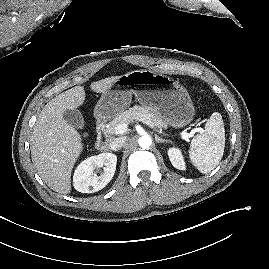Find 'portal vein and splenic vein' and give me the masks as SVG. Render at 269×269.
Returning <instances> with one entry per match:
<instances>
[{
    "instance_id": "portal-vein-and-splenic-vein-1",
    "label": "portal vein and splenic vein",
    "mask_w": 269,
    "mask_h": 269,
    "mask_svg": "<svg viewBox=\"0 0 269 269\" xmlns=\"http://www.w3.org/2000/svg\"><path fill=\"white\" fill-rule=\"evenodd\" d=\"M141 121H143L144 123H146L147 125H149V126H151L153 128V125L150 124L149 122L145 121L144 119H142ZM127 128H128V124L122 123V124H119L116 127L115 132H116V134H124V133H126ZM197 132H202V129L201 128H194L190 133L185 132V131H182L180 133V135L184 139H189L191 137H194L195 136V133H197Z\"/></svg>"
}]
</instances>
